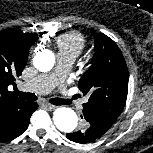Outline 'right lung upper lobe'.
I'll return each instance as SVG.
<instances>
[{"mask_svg":"<svg viewBox=\"0 0 153 153\" xmlns=\"http://www.w3.org/2000/svg\"><path fill=\"white\" fill-rule=\"evenodd\" d=\"M38 39L36 34L19 30L0 31V126L12 111L25 101L8 91L9 85H15L28 60L29 48Z\"/></svg>","mask_w":153,"mask_h":153,"instance_id":"obj_1","label":"right lung upper lobe"}]
</instances>
